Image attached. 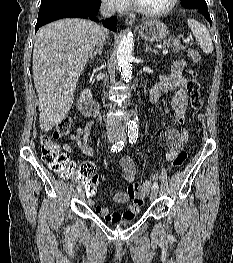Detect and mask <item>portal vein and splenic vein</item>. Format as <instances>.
Returning <instances> with one entry per match:
<instances>
[{
	"instance_id": "portal-vein-and-splenic-vein-1",
	"label": "portal vein and splenic vein",
	"mask_w": 233,
	"mask_h": 263,
	"mask_svg": "<svg viewBox=\"0 0 233 263\" xmlns=\"http://www.w3.org/2000/svg\"><path fill=\"white\" fill-rule=\"evenodd\" d=\"M168 53V49L163 50V55H166Z\"/></svg>"
}]
</instances>
